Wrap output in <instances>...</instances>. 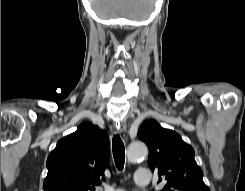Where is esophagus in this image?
Here are the masks:
<instances>
[{"label": "esophagus", "mask_w": 245, "mask_h": 191, "mask_svg": "<svg viewBox=\"0 0 245 191\" xmlns=\"http://www.w3.org/2000/svg\"><path fill=\"white\" fill-rule=\"evenodd\" d=\"M115 127L120 132H125L126 128H127L126 121L125 120H120L118 123H116Z\"/></svg>", "instance_id": "34e87169"}]
</instances>
